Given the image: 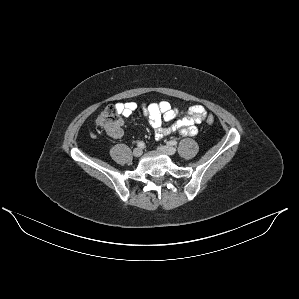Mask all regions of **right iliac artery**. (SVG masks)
I'll return each mask as SVG.
<instances>
[{
  "label": "right iliac artery",
  "instance_id": "right-iliac-artery-1",
  "mask_svg": "<svg viewBox=\"0 0 299 299\" xmlns=\"http://www.w3.org/2000/svg\"><path fill=\"white\" fill-rule=\"evenodd\" d=\"M137 146L140 147V148H143V147L145 146V143L142 142V141H141V142H138V143H137Z\"/></svg>",
  "mask_w": 299,
  "mask_h": 299
}]
</instances>
